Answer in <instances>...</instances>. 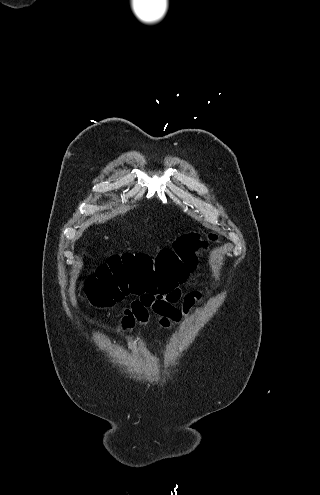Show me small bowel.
Masks as SVG:
<instances>
[{"mask_svg": "<svg viewBox=\"0 0 320 495\" xmlns=\"http://www.w3.org/2000/svg\"><path fill=\"white\" fill-rule=\"evenodd\" d=\"M195 280L189 272H186L183 279L164 293L144 292L132 301L131 305L124 310L119 323L122 331L133 328L136 324L147 326L150 315L155 316L163 328H170L182 322L190 313L193 306L201 300V293L197 290L182 294L179 284H193ZM181 301L180 308L175 306ZM151 312V313H150Z\"/></svg>", "mask_w": 320, "mask_h": 495, "instance_id": "1", "label": "small bowel"}]
</instances>
